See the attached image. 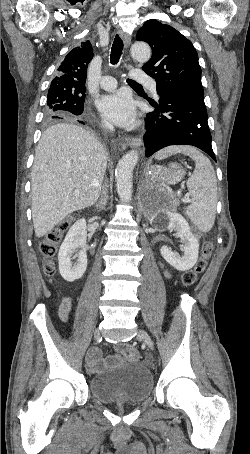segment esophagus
<instances>
[{"label":"esophagus","instance_id":"34e87169","mask_svg":"<svg viewBox=\"0 0 250 454\" xmlns=\"http://www.w3.org/2000/svg\"><path fill=\"white\" fill-rule=\"evenodd\" d=\"M120 36L124 41L125 47H129L131 36L124 32H120ZM127 144L132 148H139L142 145V140L140 138H127Z\"/></svg>","mask_w":250,"mask_h":454}]
</instances>
